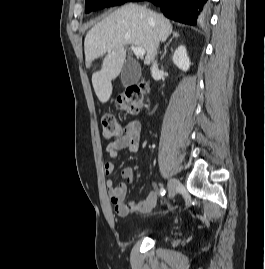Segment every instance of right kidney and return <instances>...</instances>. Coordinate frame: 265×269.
Listing matches in <instances>:
<instances>
[{
	"label": "right kidney",
	"instance_id": "obj_1",
	"mask_svg": "<svg viewBox=\"0 0 265 269\" xmlns=\"http://www.w3.org/2000/svg\"><path fill=\"white\" fill-rule=\"evenodd\" d=\"M173 63L181 70L187 71L190 67V60L187 55V50L185 46L181 45L179 46L172 57Z\"/></svg>",
	"mask_w": 265,
	"mask_h": 269
}]
</instances>
